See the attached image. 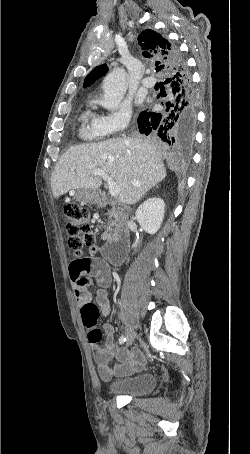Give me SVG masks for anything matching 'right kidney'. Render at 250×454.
Masks as SVG:
<instances>
[{
    "label": "right kidney",
    "instance_id": "ca27d5eb",
    "mask_svg": "<svg viewBox=\"0 0 250 454\" xmlns=\"http://www.w3.org/2000/svg\"><path fill=\"white\" fill-rule=\"evenodd\" d=\"M165 213V203L161 198H149L136 210L135 216L140 226L149 234H155L161 227Z\"/></svg>",
    "mask_w": 250,
    "mask_h": 454
}]
</instances>
